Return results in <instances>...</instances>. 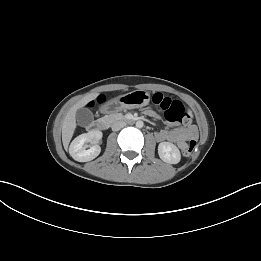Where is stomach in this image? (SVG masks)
Listing matches in <instances>:
<instances>
[{"label":"stomach","mask_w":261,"mask_h":261,"mask_svg":"<svg viewBox=\"0 0 261 261\" xmlns=\"http://www.w3.org/2000/svg\"><path fill=\"white\" fill-rule=\"evenodd\" d=\"M150 95L144 90H135L125 95L116 97L101 107L106 114L115 113L124 109L141 108L148 105Z\"/></svg>","instance_id":"0dacf381"}]
</instances>
